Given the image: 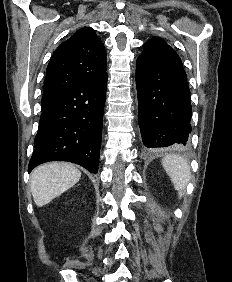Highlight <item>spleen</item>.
<instances>
[{"mask_svg":"<svg viewBox=\"0 0 232 282\" xmlns=\"http://www.w3.org/2000/svg\"><path fill=\"white\" fill-rule=\"evenodd\" d=\"M162 165L181 197L190 177L188 162L180 156L167 155L162 159Z\"/></svg>","mask_w":232,"mask_h":282,"instance_id":"3e777b00","label":"spleen"}]
</instances>
